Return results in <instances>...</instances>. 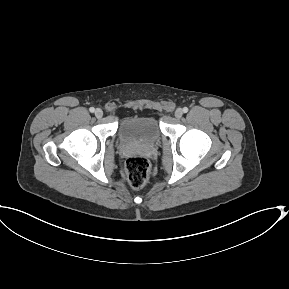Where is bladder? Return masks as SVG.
Masks as SVG:
<instances>
[{"mask_svg":"<svg viewBox=\"0 0 289 289\" xmlns=\"http://www.w3.org/2000/svg\"><path fill=\"white\" fill-rule=\"evenodd\" d=\"M119 136L124 142L154 144L161 137V128L154 116H129L120 123Z\"/></svg>","mask_w":289,"mask_h":289,"instance_id":"1","label":"bladder"}]
</instances>
